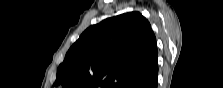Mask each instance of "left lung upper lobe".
<instances>
[{"instance_id": "5c2ea615", "label": "left lung upper lobe", "mask_w": 223, "mask_h": 88, "mask_svg": "<svg viewBox=\"0 0 223 88\" xmlns=\"http://www.w3.org/2000/svg\"><path fill=\"white\" fill-rule=\"evenodd\" d=\"M156 38L139 12L108 18L86 29L58 67L54 85L129 88L157 63Z\"/></svg>"}]
</instances>
